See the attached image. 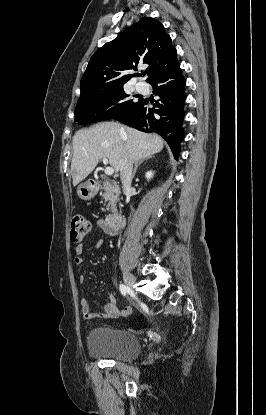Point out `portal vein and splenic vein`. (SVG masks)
<instances>
[{
	"instance_id": "portal-vein-and-splenic-vein-1",
	"label": "portal vein and splenic vein",
	"mask_w": 266,
	"mask_h": 415,
	"mask_svg": "<svg viewBox=\"0 0 266 415\" xmlns=\"http://www.w3.org/2000/svg\"><path fill=\"white\" fill-rule=\"evenodd\" d=\"M103 163H104L105 165H107V164H108V159L103 158ZM113 173H114V169H113V167H106V168H105V174H106V175H112Z\"/></svg>"
}]
</instances>
